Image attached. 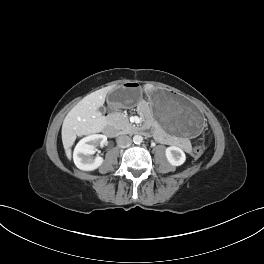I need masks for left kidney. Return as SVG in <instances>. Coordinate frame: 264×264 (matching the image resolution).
<instances>
[{
  "label": "left kidney",
  "instance_id": "1",
  "mask_svg": "<svg viewBox=\"0 0 264 264\" xmlns=\"http://www.w3.org/2000/svg\"><path fill=\"white\" fill-rule=\"evenodd\" d=\"M165 154L168 162L173 166H180L186 160L183 150L176 146L167 147Z\"/></svg>",
  "mask_w": 264,
  "mask_h": 264
}]
</instances>
